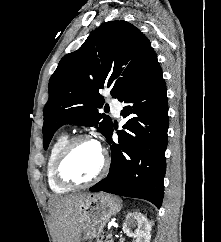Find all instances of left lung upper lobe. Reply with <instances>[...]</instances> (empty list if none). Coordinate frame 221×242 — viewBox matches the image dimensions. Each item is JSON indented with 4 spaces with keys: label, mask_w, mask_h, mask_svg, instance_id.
<instances>
[{
    "label": "left lung upper lobe",
    "mask_w": 221,
    "mask_h": 242,
    "mask_svg": "<svg viewBox=\"0 0 221 242\" xmlns=\"http://www.w3.org/2000/svg\"><path fill=\"white\" fill-rule=\"evenodd\" d=\"M159 66L150 41L134 25L116 20L94 30L83 45L64 56L49 80L44 107L43 141L47 149L56 130L66 124L99 125L105 137L112 121L98 112V90L110 87L119 101Z\"/></svg>",
    "instance_id": "left-lung-upper-lobe-1"
}]
</instances>
